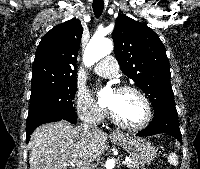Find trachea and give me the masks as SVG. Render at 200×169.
Wrapping results in <instances>:
<instances>
[{
	"instance_id": "obj_1",
	"label": "trachea",
	"mask_w": 200,
	"mask_h": 169,
	"mask_svg": "<svg viewBox=\"0 0 200 169\" xmlns=\"http://www.w3.org/2000/svg\"><path fill=\"white\" fill-rule=\"evenodd\" d=\"M104 8L103 0H93V11L96 17H100Z\"/></svg>"
}]
</instances>
